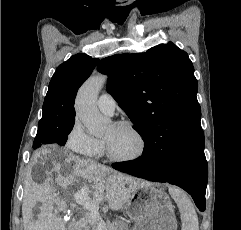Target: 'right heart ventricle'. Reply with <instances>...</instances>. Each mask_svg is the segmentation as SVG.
<instances>
[{
	"mask_svg": "<svg viewBox=\"0 0 241 230\" xmlns=\"http://www.w3.org/2000/svg\"><path fill=\"white\" fill-rule=\"evenodd\" d=\"M101 144H102V143H101ZM102 152H103V144H102V146H101V148H100L98 154H101ZM98 154H97V155H98Z\"/></svg>",
	"mask_w": 241,
	"mask_h": 230,
	"instance_id": "e07e8e85",
	"label": "right heart ventricle"
}]
</instances>
